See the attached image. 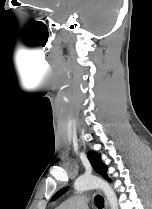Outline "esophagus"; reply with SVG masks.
<instances>
[{
    "mask_svg": "<svg viewBox=\"0 0 152 209\" xmlns=\"http://www.w3.org/2000/svg\"><path fill=\"white\" fill-rule=\"evenodd\" d=\"M105 209H109L107 201H105Z\"/></svg>",
    "mask_w": 152,
    "mask_h": 209,
    "instance_id": "1",
    "label": "esophagus"
}]
</instances>
